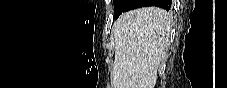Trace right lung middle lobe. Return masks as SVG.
Masks as SVG:
<instances>
[{
  "label": "right lung middle lobe",
  "mask_w": 227,
  "mask_h": 88,
  "mask_svg": "<svg viewBox=\"0 0 227 88\" xmlns=\"http://www.w3.org/2000/svg\"><path fill=\"white\" fill-rule=\"evenodd\" d=\"M130 0H113L115 9V18L120 15L125 9L126 5Z\"/></svg>",
  "instance_id": "right-lung-middle-lobe-1"
}]
</instances>
